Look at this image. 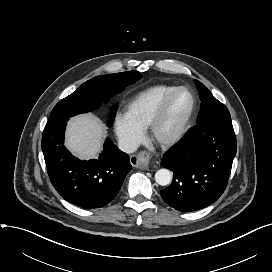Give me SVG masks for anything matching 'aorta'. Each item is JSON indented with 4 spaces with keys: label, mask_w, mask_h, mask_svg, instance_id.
I'll return each mask as SVG.
<instances>
[{
    "label": "aorta",
    "mask_w": 272,
    "mask_h": 272,
    "mask_svg": "<svg viewBox=\"0 0 272 272\" xmlns=\"http://www.w3.org/2000/svg\"><path fill=\"white\" fill-rule=\"evenodd\" d=\"M155 181L161 186H166L172 181V173L168 169H160L155 173Z\"/></svg>",
    "instance_id": "aorta-1"
}]
</instances>
